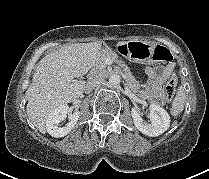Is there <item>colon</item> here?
Instances as JSON below:
<instances>
[{
  "label": "colon",
  "mask_w": 209,
  "mask_h": 179,
  "mask_svg": "<svg viewBox=\"0 0 209 179\" xmlns=\"http://www.w3.org/2000/svg\"><path fill=\"white\" fill-rule=\"evenodd\" d=\"M120 54L134 62H160L168 61L170 54L161 46H151L141 42H130L118 48ZM177 77L172 74L164 87V95L167 101H171L176 90Z\"/></svg>",
  "instance_id": "obj_1"
}]
</instances>
